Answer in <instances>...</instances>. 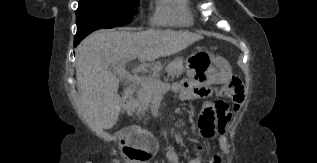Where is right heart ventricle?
I'll return each instance as SVG.
<instances>
[{"label": "right heart ventricle", "mask_w": 317, "mask_h": 163, "mask_svg": "<svg viewBox=\"0 0 317 163\" xmlns=\"http://www.w3.org/2000/svg\"><path fill=\"white\" fill-rule=\"evenodd\" d=\"M154 4L153 25L183 27L192 23L189 0H154Z\"/></svg>", "instance_id": "right-heart-ventricle-1"}]
</instances>
